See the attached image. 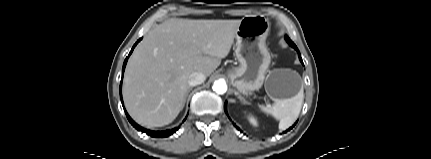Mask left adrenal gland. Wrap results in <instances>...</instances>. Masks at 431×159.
Returning a JSON list of instances; mask_svg holds the SVG:
<instances>
[{
  "label": "left adrenal gland",
  "instance_id": "obj_1",
  "mask_svg": "<svg viewBox=\"0 0 431 159\" xmlns=\"http://www.w3.org/2000/svg\"><path fill=\"white\" fill-rule=\"evenodd\" d=\"M238 98L241 102H243V104H248V102L241 95H239Z\"/></svg>",
  "mask_w": 431,
  "mask_h": 159
}]
</instances>
